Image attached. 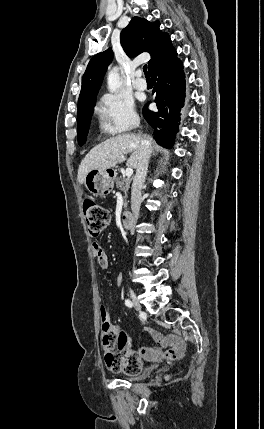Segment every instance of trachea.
<instances>
[{"label":"trachea","mask_w":264,"mask_h":429,"mask_svg":"<svg viewBox=\"0 0 264 429\" xmlns=\"http://www.w3.org/2000/svg\"><path fill=\"white\" fill-rule=\"evenodd\" d=\"M143 71H144V73H145V77H146V78H149V74H148V72H147V65H144V66H143Z\"/></svg>","instance_id":"1"}]
</instances>
